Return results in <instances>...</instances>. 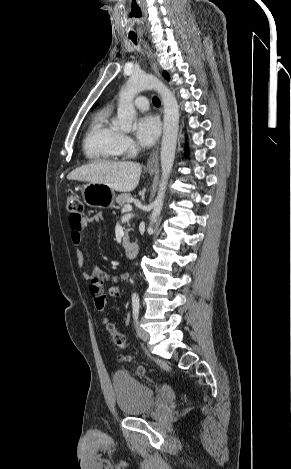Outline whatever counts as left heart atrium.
Here are the masks:
<instances>
[{"mask_svg": "<svg viewBox=\"0 0 291 469\" xmlns=\"http://www.w3.org/2000/svg\"><path fill=\"white\" fill-rule=\"evenodd\" d=\"M160 134V122L151 114L139 117L135 124V135L142 146H151Z\"/></svg>", "mask_w": 291, "mask_h": 469, "instance_id": "left-heart-atrium-1", "label": "left heart atrium"}]
</instances>
